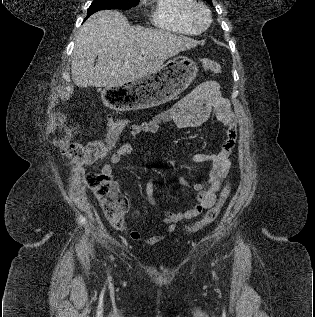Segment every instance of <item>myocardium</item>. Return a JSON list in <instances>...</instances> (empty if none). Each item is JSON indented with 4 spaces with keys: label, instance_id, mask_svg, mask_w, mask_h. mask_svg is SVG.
<instances>
[{
    "label": "myocardium",
    "instance_id": "myocardium-1",
    "mask_svg": "<svg viewBox=\"0 0 315 317\" xmlns=\"http://www.w3.org/2000/svg\"><path fill=\"white\" fill-rule=\"evenodd\" d=\"M199 13H204L206 16V21L205 23H201L198 19ZM188 20L190 24L195 27L198 31H204L206 30L212 21V15L211 11L209 8L199 2H194L193 5L189 8L188 13H187Z\"/></svg>",
    "mask_w": 315,
    "mask_h": 317
}]
</instances>
